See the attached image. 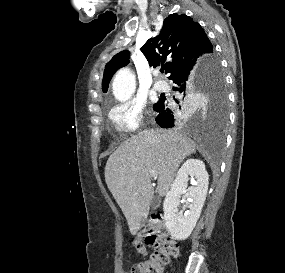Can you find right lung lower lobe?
I'll use <instances>...</instances> for the list:
<instances>
[{
    "label": "right lung lower lobe",
    "mask_w": 285,
    "mask_h": 273,
    "mask_svg": "<svg viewBox=\"0 0 285 273\" xmlns=\"http://www.w3.org/2000/svg\"><path fill=\"white\" fill-rule=\"evenodd\" d=\"M208 62L209 57L201 59L197 63L191 64L173 75L170 80L177 85L174 90L182 93L183 95L188 94L196 85L203 81L204 72ZM168 103V99L162 97L153 106V109L159 113L156 117V122L163 128L174 126V122L184 116L186 113L185 111L190 105L182 107L181 104L179 107L171 110L168 107Z\"/></svg>",
    "instance_id": "98d812e1"
}]
</instances>
